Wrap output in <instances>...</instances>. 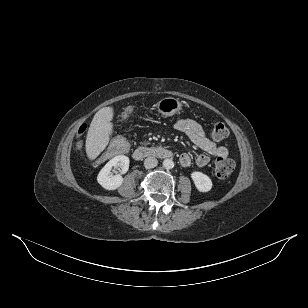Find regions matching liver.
I'll return each instance as SVG.
<instances>
[{"instance_id": "6515ba94", "label": "liver", "mask_w": 308, "mask_h": 308, "mask_svg": "<svg viewBox=\"0 0 308 308\" xmlns=\"http://www.w3.org/2000/svg\"><path fill=\"white\" fill-rule=\"evenodd\" d=\"M113 116V107H104L94 115L85 144L86 154L90 160H94L108 145L113 132L111 122Z\"/></svg>"}]
</instances>
